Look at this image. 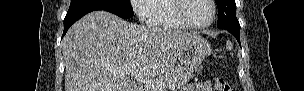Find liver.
Instances as JSON below:
<instances>
[{"instance_id": "1", "label": "liver", "mask_w": 304, "mask_h": 91, "mask_svg": "<svg viewBox=\"0 0 304 91\" xmlns=\"http://www.w3.org/2000/svg\"><path fill=\"white\" fill-rule=\"evenodd\" d=\"M203 39L196 33L128 23L106 11H94L71 26L62 43L65 91H132L125 75L132 67L145 77L171 69L183 48Z\"/></svg>"}]
</instances>
